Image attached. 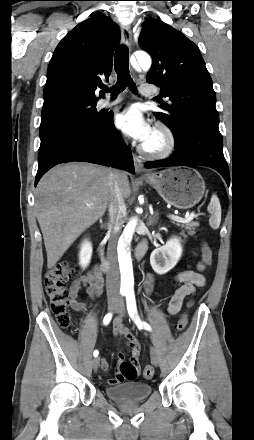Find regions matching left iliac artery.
<instances>
[{
	"label": "left iliac artery",
	"instance_id": "left-iliac-artery-1",
	"mask_svg": "<svg viewBox=\"0 0 254 440\" xmlns=\"http://www.w3.org/2000/svg\"><path fill=\"white\" fill-rule=\"evenodd\" d=\"M125 296H126L127 310L129 316L132 318V320L135 322L138 328H143L145 330L150 331L151 330L150 325L144 321H141L138 315L134 292L132 291L127 292Z\"/></svg>",
	"mask_w": 254,
	"mask_h": 440
}]
</instances>
